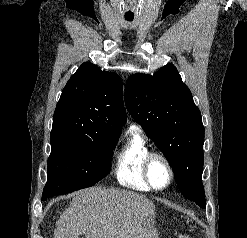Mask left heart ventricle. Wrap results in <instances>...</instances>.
Segmentation results:
<instances>
[{
	"instance_id": "b2bd125f",
	"label": "left heart ventricle",
	"mask_w": 247,
	"mask_h": 238,
	"mask_svg": "<svg viewBox=\"0 0 247 238\" xmlns=\"http://www.w3.org/2000/svg\"><path fill=\"white\" fill-rule=\"evenodd\" d=\"M150 175L153 183L157 186L165 185L169 179V171L166 165L159 159L152 162Z\"/></svg>"
}]
</instances>
